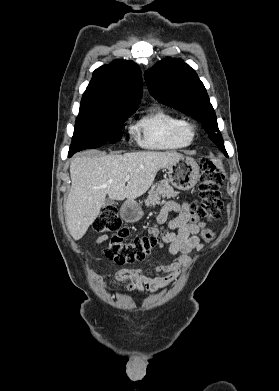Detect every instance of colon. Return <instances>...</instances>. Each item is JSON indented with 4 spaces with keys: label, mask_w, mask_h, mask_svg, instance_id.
I'll use <instances>...</instances> for the list:
<instances>
[{
    "label": "colon",
    "mask_w": 279,
    "mask_h": 391,
    "mask_svg": "<svg viewBox=\"0 0 279 391\" xmlns=\"http://www.w3.org/2000/svg\"><path fill=\"white\" fill-rule=\"evenodd\" d=\"M201 177L199 182V201L189 206L193 219L208 221L218 219L223 208L221 187L224 175L220 167L212 158H203L200 161ZM94 230L98 233H114L107 239L104 253L107 258L118 264L134 263L144 260L154 252L163 236L169 231L164 229L158 235H146L128 239L129 230L122 225V221L114 207H107L94 222ZM205 241H211L214 233L205 230L202 233Z\"/></svg>",
    "instance_id": "1"
}]
</instances>
